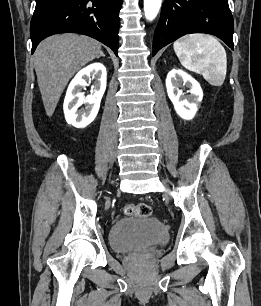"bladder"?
Returning <instances> with one entry per match:
<instances>
[{"mask_svg":"<svg viewBox=\"0 0 261 306\" xmlns=\"http://www.w3.org/2000/svg\"><path fill=\"white\" fill-rule=\"evenodd\" d=\"M169 239L168 228L155 217H124L113 223L109 242L116 252H127L138 247L163 245Z\"/></svg>","mask_w":261,"mask_h":306,"instance_id":"31cf9c89","label":"bladder"}]
</instances>
